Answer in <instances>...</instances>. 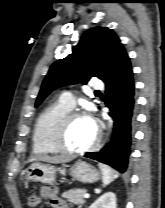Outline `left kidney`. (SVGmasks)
Returning <instances> with one entry per match:
<instances>
[{"mask_svg": "<svg viewBox=\"0 0 165 208\" xmlns=\"http://www.w3.org/2000/svg\"><path fill=\"white\" fill-rule=\"evenodd\" d=\"M89 208H117L116 195L107 192L99 197Z\"/></svg>", "mask_w": 165, "mask_h": 208, "instance_id": "5707ae66", "label": "left kidney"}]
</instances>
